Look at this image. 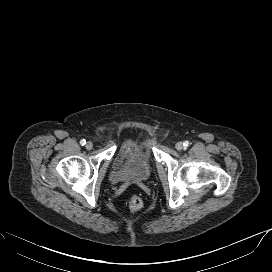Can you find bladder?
Returning <instances> with one entry per match:
<instances>
[{
  "label": "bladder",
  "mask_w": 272,
  "mask_h": 272,
  "mask_svg": "<svg viewBox=\"0 0 272 272\" xmlns=\"http://www.w3.org/2000/svg\"><path fill=\"white\" fill-rule=\"evenodd\" d=\"M150 149L140 141H127L118 151L111 172L115 183L133 181L143 183L152 177Z\"/></svg>",
  "instance_id": "obj_1"
}]
</instances>
